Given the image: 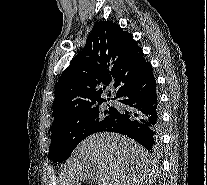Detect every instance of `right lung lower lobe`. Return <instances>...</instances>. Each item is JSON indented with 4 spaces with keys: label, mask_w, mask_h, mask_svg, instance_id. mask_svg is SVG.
<instances>
[{
    "label": "right lung lower lobe",
    "mask_w": 207,
    "mask_h": 185,
    "mask_svg": "<svg viewBox=\"0 0 207 185\" xmlns=\"http://www.w3.org/2000/svg\"><path fill=\"white\" fill-rule=\"evenodd\" d=\"M153 74L139 80L124 84L117 97L128 109H118L117 118L100 132H117L152 151L159 143L160 110L158 105L156 83Z\"/></svg>",
    "instance_id": "1"
}]
</instances>
